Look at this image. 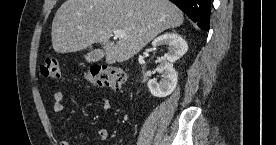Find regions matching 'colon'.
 I'll return each mask as SVG.
<instances>
[{"label": "colon", "instance_id": "1", "mask_svg": "<svg viewBox=\"0 0 276 145\" xmlns=\"http://www.w3.org/2000/svg\"><path fill=\"white\" fill-rule=\"evenodd\" d=\"M42 77L57 81L61 77L59 64L56 58L45 59L40 67ZM86 79L99 87L121 88L126 82L124 71L105 65H93L85 74Z\"/></svg>", "mask_w": 276, "mask_h": 145}]
</instances>
